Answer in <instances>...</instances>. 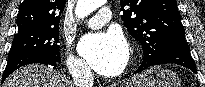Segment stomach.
I'll list each match as a JSON object with an SVG mask.
<instances>
[{
	"mask_svg": "<svg viewBox=\"0 0 205 87\" xmlns=\"http://www.w3.org/2000/svg\"><path fill=\"white\" fill-rule=\"evenodd\" d=\"M126 87H181V80L171 70L152 67L133 76Z\"/></svg>",
	"mask_w": 205,
	"mask_h": 87,
	"instance_id": "0dacf381",
	"label": "stomach"
}]
</instances>
